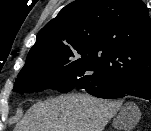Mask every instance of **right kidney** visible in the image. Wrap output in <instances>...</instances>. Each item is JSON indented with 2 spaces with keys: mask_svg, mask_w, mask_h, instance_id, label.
<instances>
[{
  "mask_svg": "<svg viewBox=\"0 0 151 131\" xmlns=\"http://www.w3.org/2000/svg\"><path fill=\"white\" fill-rule=\"evenodd\" d=\"M131 121L129 120L128 123H130ZM119 126L123 125V120L118 121Z\"/></svg>",
  "mask_w": 151,
  "mask_h": 131,
  "instance_id": "1",
  "label": "right kidney"
}]
</instances>
